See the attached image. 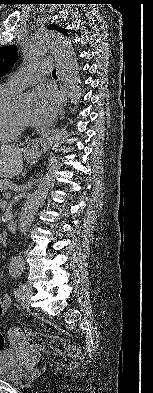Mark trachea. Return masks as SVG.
<instances>
[{"mask_svg": "<svg viewBox=\"0 0 153 393\" xmlns=\"http://www.w3.org/2000/svg\"><path fill=\"white\" fill-rule=\"evenodd\" d=\"M52 76H56V70L55 69L52 71Z\"/></svg>", "mask_w": 153, "mask_h": 393, "instance_id": "3493384b", "label": "trachea"}]
</instances>
